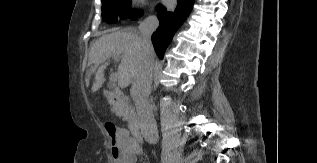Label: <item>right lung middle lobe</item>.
Returning a JSON list of instances; mask_svg holds the SVG:
<instances>
[{
  "instance_id": "1",
  "label": "right lung middle lobe",
  "mask_w": 317,
  "mask_h": 163,
  "mask_svg": "<svg viewBox=\"0 0 317 163\" xmlns=\"http://www.w3.org/2000/svg\"><path fill=\"white\" fill-rule=\"evenodd\" d=\"M102 17L109 23H115L118 18L136 20L141 16L138 11L133 12L130 0H101Z\"/></svg>"
}]
</instances>
